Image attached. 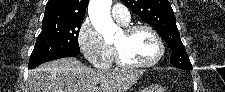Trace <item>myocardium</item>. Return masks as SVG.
<instances>
[{
    "mask_svg": "<svg viewBox=\"0 0 225 92\" xmlns=\"http://www.w3.org/2000/svg\"><path fill=\"white\" fill-rule=\"evenodd\" d=\"M138 30H147L153 35L158 45V53L156 57L149 62L136 63V62H130L126 60V58L123 56L120 49L117 46H114L117 63L120 66L127 69H146V68L152 67L160 62V60L163 58L165 53V45H164L162 37L160 36V34L157 32L155 28H153L152 26L148 24L137 23V24L129 25L124 29V33L126 35H131Z\"/></svg>",
    "mask_w": 225,
    "mask_h": 92,
    "instance_id": "myocardium-1",
    "label": "myocardium"
}]
</instances>
